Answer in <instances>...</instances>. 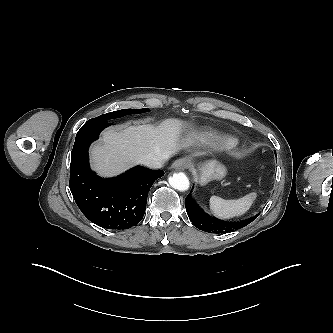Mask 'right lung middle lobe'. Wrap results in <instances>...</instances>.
<instances>
[{"mask_svg": "<svg viewBox=\"0 0 333 333\" xmlns=\"http://www.w3.org/2000/svg\"><path fill=\"white\" fill-rule=\"evenodd\" d=\"M148 109L144 108V109H122L119 111H113L110 113H106L103 115H100L96 118H94L95 120H110L113 118H119L128 114H139V113H143V112H147Z\"/></svg>", "mask_w": 333, "mask_h": 333, "instance_id": "1", "label": "right lung middle lobe"}]
</instances>
